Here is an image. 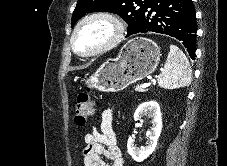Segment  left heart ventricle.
I'll use <instances>...</instances> for the list:
<instances>
[{
	"instance_id": "1",
	"label": "left heart ventricle",
	"mask_w": 227,
	"mask_h": 166,
	"mask_svg": "<svg viewBox=\"0 0 227 166\" xmlns=\"http://www.w3.org/2000/svg\"><path fill=\"white\" fill-rule=\"evenodd\" d=\"M114 35L112 25L101 19L85 24L76 36V46L79 50L89 52L106 43Z\"/></svg>"
}]
</instances>
